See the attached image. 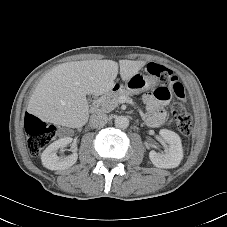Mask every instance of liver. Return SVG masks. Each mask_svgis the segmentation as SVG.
<instances>
[{
	"mask_svg": "<svg viewBox=\"0 0 227 227\" xmlns=\"http://www.w3.org/2000/svg\"><path fill=\"white\" fill-rule=\"evenodd\" d=\"M145 61L84 60L53 68L37 84L28 112L42 121L79 128L89 118L87 94L99 96L111 91L120 67L123 81L144 67Z\"/></svg>",
	"mask_w": 227,
	"mask_h": 227,
	"instance_id": "liver-1",
	"label": "liver"
}]
</instances>
